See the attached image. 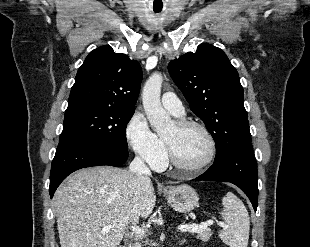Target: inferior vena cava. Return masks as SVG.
Masks as SVG:
<instances>
[{"mask_svg":"<svg viewBox=\"0 0 310 247\" xmlns=\"http://www.w3.org/2000/svg\"><path fill=\"white\" fill-rule=\"evenodd\" d=\"M129 171L136 176L150 175L151 171L144 163L141 156H136L129 166ZM131 247V246H129Z\"/></svg>","mask_w":310,"mask_h":247,"instance_id":"602c4592","label":"inferior vena cava"}]
</instances>
